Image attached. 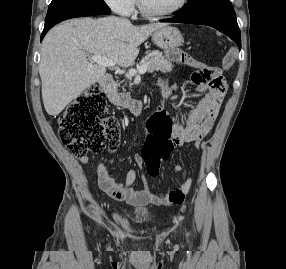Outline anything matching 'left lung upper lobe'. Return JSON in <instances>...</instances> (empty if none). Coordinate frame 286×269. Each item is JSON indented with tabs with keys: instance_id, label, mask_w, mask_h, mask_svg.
<instances>
[{
	"instance_id": "left-lung-upper-lobe-1",
	"label": "left lung upper lobe",
	"mask_w": 286,
	"mask_h": 269,
	"mask_svg": "<svg viewBox=\"0 0 286 269\" xmlns=\"http://www.w3.org/2000/svg\"><path fill=\"white\" fill-rule=\"evenodd\" d=\"M177 13L182 17L207 14L235 15L229 0H188L187 6L182 7Z\"/></svg>"
}]
</instances>
